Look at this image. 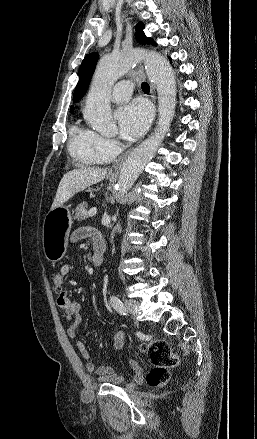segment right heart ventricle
I'll use <instances>...</instances> for the list:
<instances>
[{"label": "right heart ventricle", "mask_w": 257, "mask_h": 439, "mask_svg": "<svg viewBox=\"0 0 257 439\" xmlns=\"http://www.w3.org/2000/svg\"><path fill=\"white\" fill-rule=\"evenodd\" d=\"M95 133L78 125L71 128L68 143L69 152L80 164L93 166L105 162L94 149Z\"/></svg>", "instance_id": "obj_1"}]
</instances>
